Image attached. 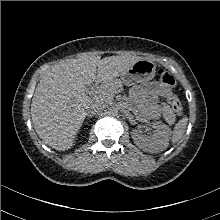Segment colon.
<instances>
[{"mask_svg":"<svg viewBox=\"0 0 220 220\" xmlns=\"http://www.w3.org/2000/svg\"><path fill=\"white\" fill-rule=\"evenodd\" d=\"M158 75L160 77V81L162 86L167 90V100L170 103L173 111L178 116H182L183 114V107L178 99V97L173 92V87L175 85V79L174 77L167 71L160 69L158 71Z\"/></svg>","mask_w":220,"mask_h":220,"instance_id":"colon-1","label":"colon"}]
</instances>
